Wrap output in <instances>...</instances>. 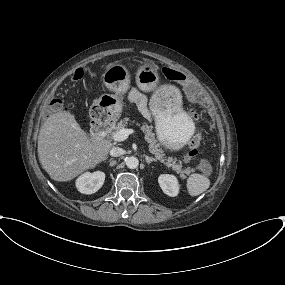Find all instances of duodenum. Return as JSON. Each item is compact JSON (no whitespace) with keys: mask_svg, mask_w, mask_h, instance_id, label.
I'll return each instance as SVG.
<instances>
[{"mask_svg":"<svg viewBox=\"0 0 285 285\" xmlns=\"http://www.w3.org/2000/svg\"><path fill=\"white\" fill-rule=\"evenodd\" d=\"M107 129H108V126L106 124L94 127L92 129V136H93V138L96 139V140H100L104 136V134L107 131Z\"/></svg>","mask_w":285,"mask_h":285,"instance_id":"410a0bca","label":"duodenum"}]
</instances>
